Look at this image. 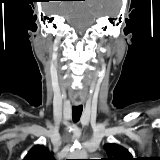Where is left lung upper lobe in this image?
Returning <instances> with one entry per match:
<instances>
[{
	"label": "left lung upper lobe",
	"mask_w": 160,
	"mask_h": 160,
	"mask_svg": "<svg viewBox=\"0 0 160 160\" xmlns=\"http://www.w3.org/2000/svg\"><path fill=\"white\" fill-rule=\"evenodd\" d=\"M104 149L109 158H103L102 160H134L131 153L120 145L106 144Z\"/></svg>",
	"instance_id": "obj_1"
}]
</instances>
